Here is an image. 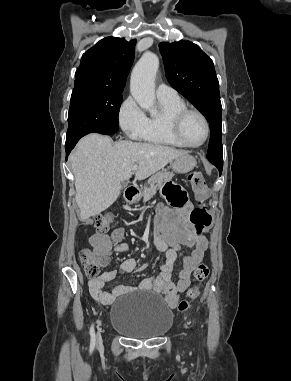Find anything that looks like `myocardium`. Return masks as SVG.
I'll return each instance as SVG.
<instances>
[{
	"instance_id": "f54148a6",
	"label": "myocardium",
	"mask_w": 291,
	"mask_h": 381,
	"mask_svg": "<svg viewBox=\"0 0 291 381\" xmlns=\"http://www.w3.org/2000/svg\"><path fill=\"white\" fill-rule=\"evenodd\" d=\"M188 114H197L202 119V121L204 123L205 136L199 144L189 143L184 138V136L182 134L181 125H182L184 118ZM170 129H171V132L174 135V137L178 141H180L184 146L189 147V148L201 147L202 145H204L206 143V141L208 140L209 135H210V123H209L207 117L205 116V114L203 112H201L198 109H194V108H185V109H182V110L178 111L177 113H175L170 119Z\"/></svg>"
}]
</instances>
